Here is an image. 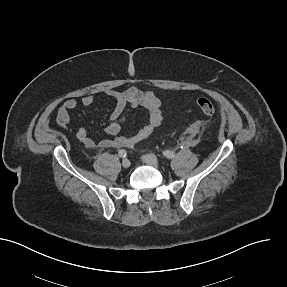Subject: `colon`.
<instances>
[{"mask_svg": "<svg viewBox=\"0 0 287 287\" xmlns=\"http://www.w3.org/2000/svg\"><path fill=\"white\" fill-rule=\"evenodd\" d=\"M196 105L199 108V110L207 116H211L215 112V106L212 103V101L209 100L208 98L205 97L198 98L196 101Z\"/></svg>", "mask_w": 287, "mask_h": 287, "instance_id": "colon-1", "label": "colon"}]
</instances>
